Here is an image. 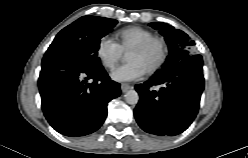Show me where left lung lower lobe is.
<instances>
[{
	"mask_svg": "<svg viewBox=\"0 0 248 158\" xmlns=\"http://www.w3.org/2000/svg\"><path fill=\"white\" fill-rule=\"evenodd\" d=\"M202 65L200 55L190 56L135 86L140 100L134 115L144 131L174 136L188 128L196 117L204 89ZM154 85L164 86L155 91L150 88Z\"/></svg>",
	"mask_w": 248,
	"mask_h": 158,
	"instance_id": "obj_1",
	"label": "left lung lower lobe"
}]
</instances>
